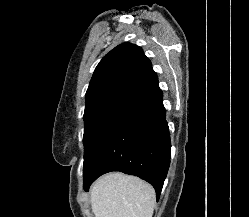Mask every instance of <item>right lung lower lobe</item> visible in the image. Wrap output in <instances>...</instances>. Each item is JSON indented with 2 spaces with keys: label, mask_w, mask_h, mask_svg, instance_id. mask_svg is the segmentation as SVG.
I'll return each mask as SVG.
<instances>
[{
  "label": "right lung lower lobe",
  "mask_w": 249,
  "mask_h": 217,
  "mask_svg": "<svg viewBox=\"0 0 249 217\" xmlns=\"http://www.w3.org/2000/svg\"><path fill=\"white\" fill-rule=\"evenodd\" d=\"M162 100L151 71L110 106L84 152L85 190L102 174L121 171L149 182L159 199L171 155Z\"/></svg>",
  "instance_id": "1"
}]
</instances>
